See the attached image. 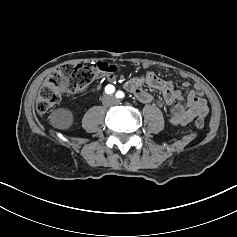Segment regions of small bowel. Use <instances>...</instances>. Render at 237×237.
<instances>
[{"instance_id": "1", "label": "small bowel", "mask_w": 237, "mask_h": 237, "mask_svg": "<svg viewBox=\"0 0 237 237\" xmlns=\"http://www.w3.org/2000/svg\"><path fill=\"white\" fill-rule=\"evenodd\" d=\"M109 78L113 79V77ZM145 85L162 95L163 102H158V105L169 111V122L173 125H186L195 117H205L208 114L204 93L197 84L188 81L183 82L182 86L189 89L186 97H184L180 90L174 89L171 81H165L153 72L146 71L127 80L124 87L139 101L149 103L154 101L155 97L144 88Z\"/></svg>"}]
</instances>
